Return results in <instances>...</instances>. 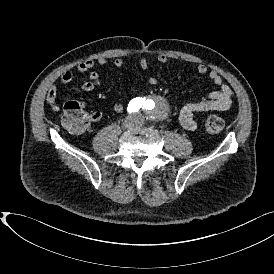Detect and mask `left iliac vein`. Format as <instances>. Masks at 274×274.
I'll list each match as a JSON object with an SVG mask.
<instances>
[{"instance_id": "1", "label": "left iliac vein", "mask_w": 274, "mask_h": 274, "mask_svg": "<svg viewBox=\"0 0 274 274\" xmlns=\"http://www.w3.org/2000/svg\"><path fill=\"white\" fill-rule=\"evenodd\" d=\"M136 119H137V122H136L137 126L144 125V119H143V117L141 115L136 116Z\"/></svg>"}]
</instances>
